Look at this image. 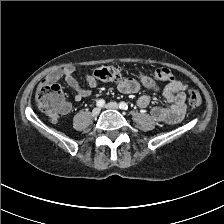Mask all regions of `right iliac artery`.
<instances>
[{"mask_svg": "<svg viewBox=\"0 0 224 224\" xmlns=\"http://www.w3.org/2000/svg\"><path fill=\"white\" fill-rule=\"evenodd\" d=\"M96 105L99 107H103L105 105V100H103V99L98 100Z\"/></svg>", "mask_w": 224, "mask_h": 224, "instance_id": "obj_1", "label": "right iliac artery"}]
</instances>
